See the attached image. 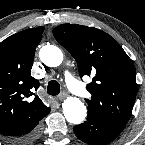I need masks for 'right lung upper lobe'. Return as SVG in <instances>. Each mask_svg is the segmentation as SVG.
<instances>
[{"instance_id":"right-lung-upper-lobe-1","label":"right lung upper lobe","mask_w":145,"mask_h":145,"mask_svg":"<svg viewBox=\"0 0 145 145\" xmlns=\"http://www.w3.org/2000/svg\"><path fill=\"white\" fill-rule=\"evenodd\" d=\"M43 31V26L27 29L0 43V132L25 128L49 108L37 95L31 102L26 100L39 87L30 70Z\"/></svg>"}]
</instances>
